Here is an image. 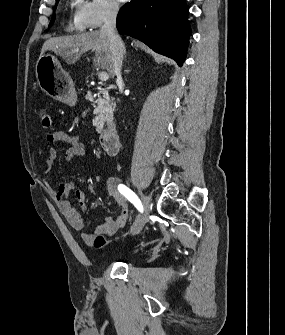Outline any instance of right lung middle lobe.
Wrapping results in <instances>:
<instances>
[{
  "label": "right lung middle lobe",
  "instance_id": "right-lung-middle-lobe-1",
  "mask_svg": "<svg viewBox=\"0 0 285 335\" xmlns=\"http://www.w3.org/2000/svg\"><path fill=\"white\" fill-rule=\"evenodd\" d=\"M55 17L52 18L49 27L53 24Z\"/></svg>",
  "mask_w": 285,
  "mask_h": 335
}]
</instances>
